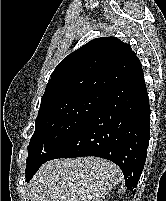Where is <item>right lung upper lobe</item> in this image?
<instances>
[{"mask_svg": "<svg viewBox=\"0 0 166 201\" xmlns=\"http://www.w3.org/2000/svg\"><path fill=\"white\" fill-rule=\"evenodd\" d=\"M139 63L130 45L118 38L89 41L57 65L42 96L38 115L70 98L87 94L104 96Z\"/></svg>", "mask_w": 166, "mask_h": 201, "instance_id": "cb5924a9", "label": "right lung upper lobe"}]
</instances>
